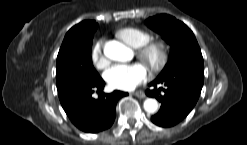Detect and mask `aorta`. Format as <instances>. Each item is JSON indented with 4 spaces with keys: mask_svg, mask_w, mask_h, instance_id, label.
<instances>
[{
    "mask_svg": "<svg viewBox=\"0 0 247 145\" xmlns=\"http://www.w3.org/2000/svg\"><path fill=\"white\" fill-rule=\"evenodd\" d=\"M103 52L107 58L120 62L129 60L132 55L128 47L115 40L106 42ZM143 107L146 112L155 113L158 110V102L153 98H148L144 101Z\"/></svg>",
    "mask_w": 247,
    "mask_h": 145,
    "instance_id": "obj_1",
    "label": "aorta"
}]
</instances>
